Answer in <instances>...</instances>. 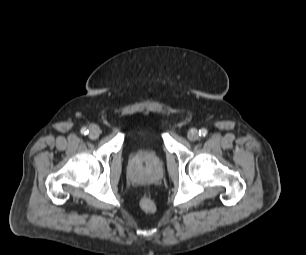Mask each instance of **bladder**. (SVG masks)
I'll use <instances>...</instances> for the list:
<instances>
[{"instance_id": "obj_1", "label": "bladder", "mask_w": 306, "mask_h": 255, "mask_svg": "<svg viewBox=\"0 0 306 255\" xmlns=\"http://www.w3.org/2000/svg\"><path fill=\"white\" fill-rule=\"evenodd\" d=\"M144 135L153 142L156 148L159 149L162 147L160 130L157 126H151V127L146 128ZM138 138H139V135H132L129 139V146L133 149L134 153L136 152L134 148H135L136 141L138 140Z\"/></svg>"}]
</instances>
